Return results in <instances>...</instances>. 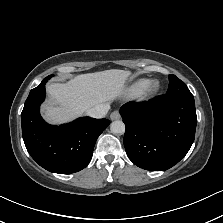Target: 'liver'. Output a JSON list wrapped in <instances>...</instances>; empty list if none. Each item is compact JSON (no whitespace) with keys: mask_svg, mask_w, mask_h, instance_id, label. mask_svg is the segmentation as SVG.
Masks as SVG:
<instances>
[{"mask_svg":"<svg viewBox=\"0 0 223 223\" xmlns=\"http://www.w3.org/2000/svg\"><path fill=\"white\" fill-rule=\"evenodd\" d=\"M130 71L111 69L81 74L65 84L47 85L51 99L42 105L44 118L51 123L69 121L99 104L120 96Z\"/></svg>","mask_w":223,"mask_h":223,"instance_id":"1","label":"liver"}]
</instances>
